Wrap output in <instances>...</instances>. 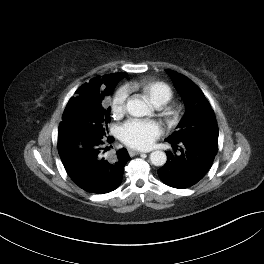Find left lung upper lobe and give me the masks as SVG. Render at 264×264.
I'll return each instance as SVG.
<instances>
[{"mask_svg": "<svg viewBox=\"0 0 264 264\" xmlns=\"http://www.w3.org/2000/svg\"><path fill=\"white\" fill-rule=\"evenodd\" d=\"M175 88L182 96L186 111L179 122L178 130L166 140L180 143L190 139H209L218 142V126L214 112L202 91L187 77L166 70Z\"/></svg>", "mask_w": 264, "mask_h": 264, "instance_id": "obj_1", "label": "left lung upper lobe"}]
</instances>
